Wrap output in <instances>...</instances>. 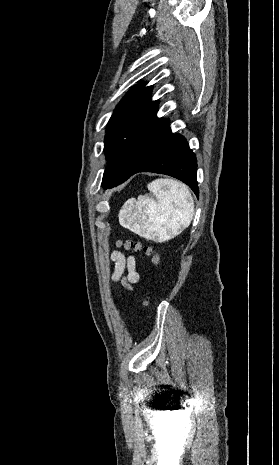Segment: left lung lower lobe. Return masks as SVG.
I'll list each match as a JSON object with an SVG mask.
<instances>
[{
    "instance_id": "1",
    "label": "left lung lower lobe",
    "mask_w": 279,
    "mask_h": 465,
    "mask_svg": "<svg viewBox=\"0 0 279 465\" xmlns=\"http://www.w3.org/2000/svg\"><path fill=\"white\" fill-rule=\"evenodd\" d=\"M153 172L173 176L186 183L198 196L197 160L186 139L170 134L133 172ZM132 174V175H133Z\"/></svg>"
}]
</instances>
